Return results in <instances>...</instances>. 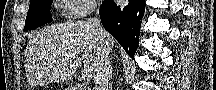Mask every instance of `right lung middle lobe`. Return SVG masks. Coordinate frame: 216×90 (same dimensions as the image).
<instances>
[{
  "instance_id": "right-lung-middle-lobe-1",
  "label": "right lung middle lobe",
  "mask_w": 216,
  "mask_h": 90,
  "mask_svg": "<svg viewBox=\"0 0 216 90\" xmlns=\"http://www.w3.org/2000/svg\"><path fill=\"white\" fill-rule=\"evenodd\" d=\"M51 3L52 0H31L24 31L33 30L52 21L49 11Z\"/></svg>"
}]
</instances>
